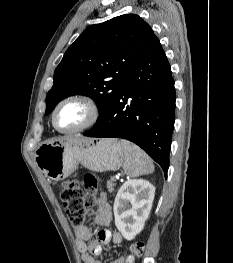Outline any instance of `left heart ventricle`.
Returning a JSON list of instances; mask_svg holds the SVG:
<instances>
[{
	"instance_id": "left-heart-ventricle-1",
	"label": "left heart ventricle",
	"mask_w": 233,
	"mask_h": 263,
	"mask_svg": "<svg viewBox=\"0 0 233 263\" xmlns=\"http://www.w3.org/2000/svg\"><path fill=\"white\" fill-rule=\"evenodd\" d=\"M89 112L85 105L80 102L64 104L58 111L56 122L63 130H72L81 126L88 118Z\"/></svg>"
}]
</instances>
